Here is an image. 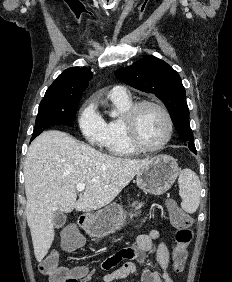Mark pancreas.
I'll list each match as a JSON object with an SVG mask.
<instances>
[{
    "mask_svg": "<svg viewBox=\"0 0 232 282\" xmlns=\"http://www.w3.org/2000/svg\"><path fill=\"white\" fill-rule=\"evenodd\" d=\"M133 216H136V214H130V219H132ZM144 222V220H143Z\"/></svg>",
    "mask_w": 232,
    "mask_h": 282,
    "instance_id": "pancreas-1",
    "label": "pancreas"
}]
</instances>
